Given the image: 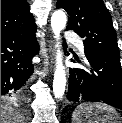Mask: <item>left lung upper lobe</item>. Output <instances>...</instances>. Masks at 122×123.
I'll return each mask as SVG.
<instances>
[{
    "instance_id": "1",
    "label": "left lung upper lobe",
    "mask_w": 122,
    "mask_h": 123,
    "mask_svg": "<svg viewBox=\"0 0 122 123\" xmlns=\"http://www.w3.org/2000/svg\"><path fill=\"white\" fill-rule=\"evenodd\" d=\"M56 8L69 15L67 30L83 38L84 50H93L120 59L112 17L103 0H58Z\"/></svg>"
}]
</instances>
